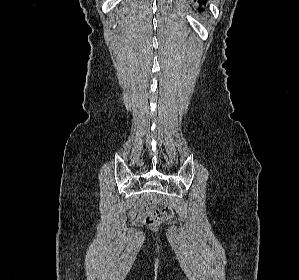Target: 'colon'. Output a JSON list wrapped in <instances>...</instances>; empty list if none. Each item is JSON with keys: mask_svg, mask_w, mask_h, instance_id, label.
<instances>
[{"mask_svg": "<svg viewBox=\"0 0 299 280\" xmlns=\"http://www.w3.org/2000/svg\"><path fill=\"white\" fill-rule=\"evenodd\" d=\"M153 204L155 209L146 218V222L149 225L156 226L172 217L173 211L170 206L157 199L153 200Z\"/></svg>", "mask_w": 299, "mask_h": 280, "instance_id": "1", "label": "colon"}]
</instances>
